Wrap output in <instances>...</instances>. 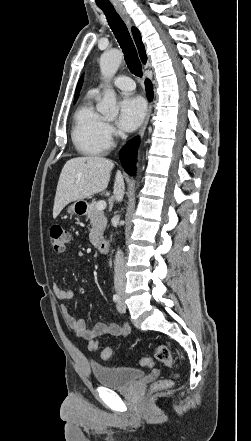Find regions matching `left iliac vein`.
I'll return each mask as SVG.
<instances>
[{
  "label": "left iliac vein",
  "mask_w": 251,
  "mask_h": 441,
  "mask_svg": "<svg viewBox=\"0 0 251 441\" xmlns=\"http://www.w3.org/2000/svg\"><path fill=\"white\" fill-rule=\"evenodd\" d=\"M117 309L120 313H125L126 305L124 304L123 297L120 298V300L117 304Z\"/></svg>",
  "instance_id": "4c4485c4"
}]
</instances>
